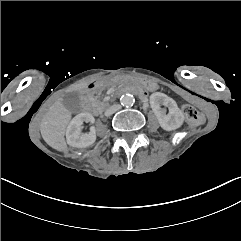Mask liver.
<instances>
[{"mask_svg": "<svg viewBox=\"0 0 241 241\" xmlns=\"http://www.w3.org/2000/svg\"><path fill=\"white\" fill-rule=\"evenodd\" d=\"M90 82L78 84L74 90L88 87ZM71 119V112L63 105L62 99L55 101L44 115L40 131L44 141L54 149L66 148L65 131Z\"/></svg>", "mask_w": 241, "mask_h": 241, "instance_id": "obj_1", "label": "liver"}]
</instances>
